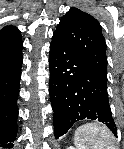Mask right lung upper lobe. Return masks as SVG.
Returning <instances> with one entry per match:
<instances>
[{
    "label": "right lung upper lobe",
    "instance_id": "cb5924a9",
    "mask_svg": "<svg viewBox=\"0 0 124 149\" xmlns=\"http://www.w3.org/2000/svg\"><path fill=\"white\" fill-rule=\"evenodd\" d=\"M21 38L20 31L14 26H6L0 30V42L12 41Z\"/></svg>",
    "mask_w": 124,
    "mask_h": 149
}]
</instances>
